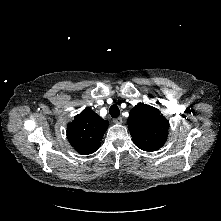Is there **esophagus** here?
<instances>
[{
	"label": "esophagus",
	"instance_id": "esophagus-1",
	"mask_svg": "<svg viewBox=\"0 0 221 221\" xmlns=\"http://www.w3.org/2000/svg\"><path fill=\"white\" fill-rule=\"evenodd\" d=\"M113 122L116 123V124H122V123H123V120H122L121 117H118V118H115V119L113 120Z\"/></svg>",
	"mask_w": 221,
	"mask_h": 221
}]
</instances>
